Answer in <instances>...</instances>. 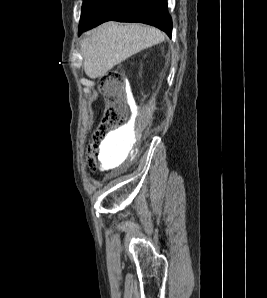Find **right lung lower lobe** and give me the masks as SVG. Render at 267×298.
I'll use <instances>...</instances> for the list:
<instances>
[{
	"label": "right lung lower lobe",
	"instance_id": "1",
	"mask_svg": "<svg viewBox=\"0 0 267 298\" xmlns=\"http://www.w3.org/2000/svg\"><path fill=\"white\" fill-rule=\"evenodd\" d=\"M109 20L141 22L172 34L167 0H105L88 21L79 24L78 34Z\"/></svg>",
	"mask_w": 267,
	"mask_h": 298
}]
</instances>
